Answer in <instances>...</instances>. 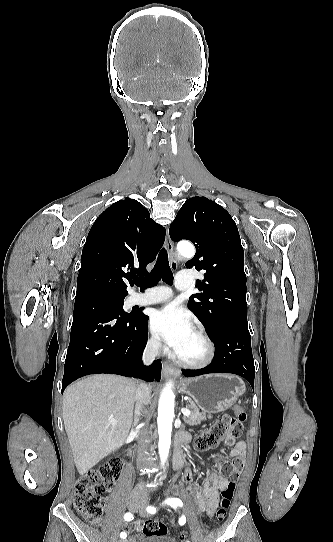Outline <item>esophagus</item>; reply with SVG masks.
<instances>
[{
	"label": "esophagus",
	"mask_w": 333,
	"mask_h": 542,
	"mask_svg": "<svg viewBox=\"0 0 333 542\" xmlns=\"http://www.w3.org/2000/svg\"><path fill=\"white\" fill-rule=\"evenodd\" d=\"M166 248H167V251H168L170 266H171L172 270H177L178 262H177V260H176V258L174 256V245H173L172 240L170 239L168 231L166 233ZM180 374H181V371L179 369L171 366L167 362H163V375H164V377H169V376L178 377Z\"/></svg>",
	"instance_id": "obj_1"
}]
</instances>
